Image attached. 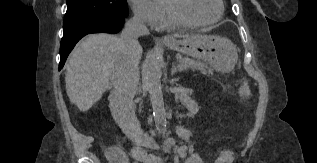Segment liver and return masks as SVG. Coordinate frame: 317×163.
Instances as JSON below:
<instances>
[{
	"label": "liver",
	"instance_id": "6515ba94",
	"mask_svg": "<svg viewBox=\"0 0 317 163\" xmlns=\"http://www.w3.org/2000/svg\"><path fill=\"white\" fill-rule=\"evenodd\" d=\"M119 40L118 36L106 33L90 34L72 51L66 67V91L80 111L89 110L110 87L121 57ZM141 55L139 45L138 60Z\"/></svg>",
	"mask_w": 317,
	"mask_h": 163
}]
</instances>
